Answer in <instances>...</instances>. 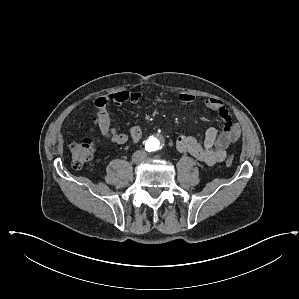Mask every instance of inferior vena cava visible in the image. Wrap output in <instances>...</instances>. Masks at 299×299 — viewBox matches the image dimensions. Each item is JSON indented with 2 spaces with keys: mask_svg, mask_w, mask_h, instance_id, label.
<instances>
[{
  "mask_svg": "<svg viewBox=\"0 0 299 299\" xmlns=\"http://www.w3.org/2000/svg\"><path fill=\"white\" fill-rule=\"evenodd\" d=\"M144 155H145V152H144V151H137V152H135V153L133 154V157H134V159H137V158H139V157H144ZM136 161L139 162L140 159H138V160H136Z\"/></svg>",
  "mask_w": 299,
  "mask_h": 299,
  "instance_id": "602c4592",
  "label": "inferior vena cava"
}]
</instances>
